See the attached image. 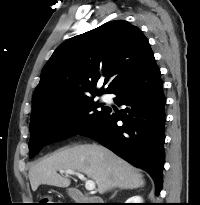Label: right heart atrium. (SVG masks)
<instances>
[{"instance_id":"d8ad5b80","label":"right heart atrium","mask_w":200,"mask_h":205,"mask_svg":"<svg viewBox=\"0 0 200 205\" xmlns=\"http://www.w3.org/2000/svg\"><path fill=\"white\" fill-rule=\"evenodd\" d=\"M77 122H78V116L75 113L70 114L66 119V125L70 127L76 125Z\"/></svg>"}]
</instances>
